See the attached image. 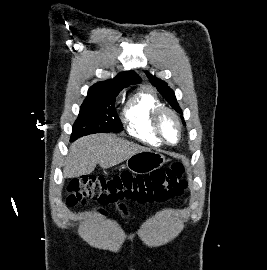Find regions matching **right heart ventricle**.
<instances>
[{
	"mask_svg": "<svg viewBox=\"0 0 267 270\" xmlns=\"http://www.w3.org/2000/svg\"><path fill=\"white\" fill-rule=\"evenodd\" d=\"M162 106L160 99L149 88H142L135 92L123 109V122L127 132L136 139L155 147L162 142L155 135L151 119L154 110Z\"/></svg>",
	"mask_w": 267,
	"mask_h": 270,
	"instance_id": "right-heart-ventricle-1",
	"label": "right heart ventricle"
}]
</instances>
